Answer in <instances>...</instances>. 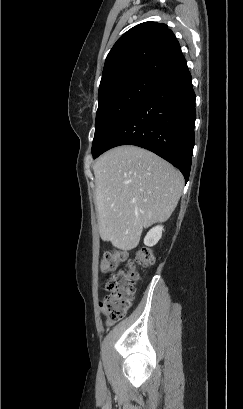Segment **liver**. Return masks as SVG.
Listing matches in <instances>:
<instances>
[{
    "label": "liver",
    "mask_w": 243,
    "mask_h": 409,
    "mask_svg": "<svg viewBox=\"0 0 243 409\" xmlns=\"http://www.w3.org/2000/svg\"><path fill=\"white\" fill-rule=\"evenodd\" d=\"M93 171L100 236L124 251L138 246L143 228L171 216L184 186L180 171L133 145L107 151Z\"/></svg>",
    "instance_id": "1"
}]
</instances>
